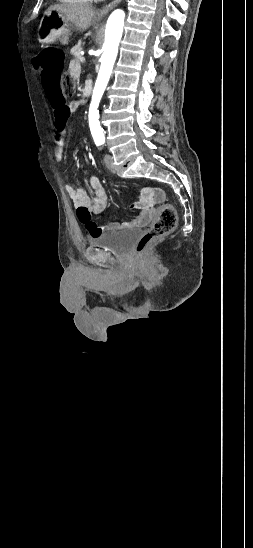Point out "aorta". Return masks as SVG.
<instances>
[{
  "instance_id": "aorta-1",
  "label": "aorta",
  "mask_w": 253,
  "mask_h": 548,
  "mask_svg": "<svg viewBox=\"0 0 253 548\" xmlns=\"http://www.w3.org/2000/svg\"><path fill=\"white\" fill-rule=\"evenodd\" d=\"M125 13L117 9L108 18L105 29L104 52L101 56V66L94 86L89 110L92 136L103 138V129L99 123L98 105L110 79L112 69L117 57L118 46L122 37Z\"/></svg>"
}]
</instances>
